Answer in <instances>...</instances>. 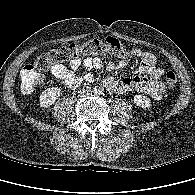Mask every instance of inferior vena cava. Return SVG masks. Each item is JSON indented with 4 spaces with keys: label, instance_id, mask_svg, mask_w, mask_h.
<instances>
[{
    "label": "inferior vena cava",
    "instance_id": "inferior-vena-cava-1",
    "mask_svg": "<svg viewBox=\"0 0 195 195\" xmlns=\"http://www.w3.org/2000/svg\"><path fill=\"white\" fill-rule=\"evenodd\" d=\"M80 94L84 97L92 94V90L90 88H84L82 90H80Z\"/></svg>",
    "mask_w": 195,
    "mask_h": 195
}]
</instances>
